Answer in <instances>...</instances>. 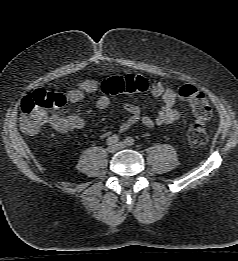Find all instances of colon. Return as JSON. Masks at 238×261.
Listing matches in <instances>:
<instances>
[{"label":"colon","mask_w":238,"mask_h":261,"mask_svg":"<svg viewBox=\"0 0 238 261\" xmlns=\"http://www.w3.org/2000/svg\"><path fill=\"white\" fill-rule=\"evenodd\" d=\"M151 83L140 75H126L110 77L102 82V92L115 96L123 93L145 92L150 89ZM177 95L186 101L192 110L194 121L190 125L187 138L192 146H201L208 140L206 122L212 114L211 106L203 91L193 85H183L178 88ZM65 99L58 93L37 90L25 96L21 101L22 130L29 135L35 134L47 121L49 111L62 106Z\"/></svg>","instance_id":"obj_1"}]
</instances>
